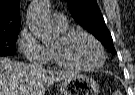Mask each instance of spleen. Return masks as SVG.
<instances>
[{"instance_id":"spleen-1","label":"spleen","mask_w":135,"mask_h":95,"mask_svg":"<svg viewBox=\"0 0 135 95\" xmlns=\"http://www.w3.org/2000/svg\"><path fill=\"white\" fill-rule=\"evenodd\" d=\"M114 95H121V93L120 92H115V94Z\"/></svg>"}]
</instances>
